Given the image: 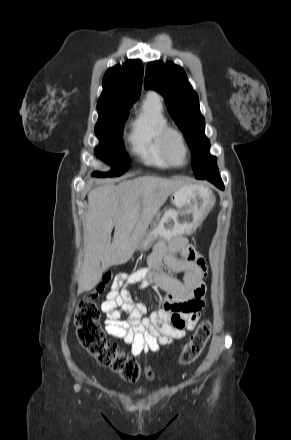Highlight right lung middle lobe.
<instances>
[{
  "label": "right lung middle lobe",
  "instance_id": "1",
  "mask_svg": "<svg viewBox=\"0 0 291 440\" xmlns=\"http://www.w3.org/2000/svg\"><path fill=\"white\" fill-rule=\"evenodd\" d=\"M130 107L110 106L97 108L98 121L95 134L100 144L95 148L98 158L112 167L111 172H94L93 176H119L129 168V157L122 141L123 126L128 117Z\"/></svg>",
  "mask_w": 291,
  "mask_h": 440
}]
</instances>
